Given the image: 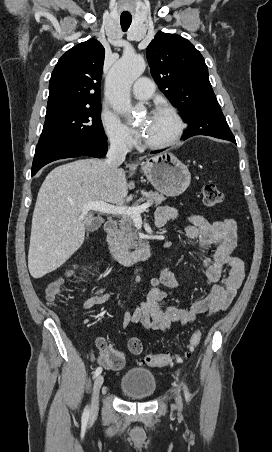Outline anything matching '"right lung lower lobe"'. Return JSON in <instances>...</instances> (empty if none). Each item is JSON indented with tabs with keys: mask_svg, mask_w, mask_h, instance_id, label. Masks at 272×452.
Returning <instances> with one entry per match:
<instances>
[{
	"mask_svg": "<svg viewBox=\"0 0 272 452\" xmlns=\"http://www.w3.org/2000/svg\"><path fill=\"white\" fill-rule=\"evenodd\" d=\"M107 149V141L101 143L70 141L39 144L36 146L31 175L34 176L44 165L59 159L79 156L102 158L106 155Z\"/></svg>",
	"mask_w": 272,
	"mask_h": 452,
	"instance_id": "1",
	"label": "right lung lower lobe"
}]
</instances>
